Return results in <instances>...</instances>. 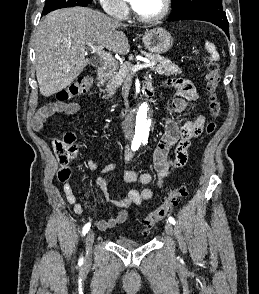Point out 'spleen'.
<instances>
[{
    "label": "spleen",
    "instance_id": "1",
    "mask_svg": "<svg viewBox=\"0 0 259 294\" xmlns=\"http://www.w3.org/2000/svg\"><path fill=\"white\" fill-rule=\"evenodd\" d=\"M205 48L211 54L212 60H214V61L219 60V54L216 51V47L214 44L207 41L205 43Z\"/></svg>",
    "mask_w": 259,
    "mask_h": 294
}]
</instances>
